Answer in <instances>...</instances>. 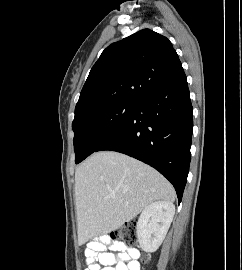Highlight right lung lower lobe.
Instances as JSON below:
<instances>
[{"label": "right lung lower lobe", "mask_w": 242, "mask_h": 270, "mask_svg": "<svg viewBox=\"0 0 242 270\" xmlns=\"http://www.w3.org/2000/svg\"><path fill=\"white\" fill-rule=\"evenodd\" d=\"M192 111L182 68L139 98L96 151L121 152L154 167L172 183L180 203L189 172Z\"/></svg>", "instance_id": "right-lung-lower-lobe-1"}]
</instances>
